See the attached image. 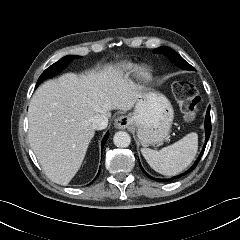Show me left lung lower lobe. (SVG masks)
Returning <instances> with one entry per match:
<instances>
[{
	"instance_id": "1",
	"label": "left lung lower lobe",
	"mask_w": 240,
	"mask_h": 240,
	"mask_svg": "<svg viewBox=\"0 0 240 240\" xmlns=\"http://www.w3.org/2000/svg\"><path fill=\"white\" fill-rule=\"evenodd\" d=\"M205 131H206V140H205V144H204L203 150H202L200 156L198 157V159L195 161L194 165H193L188 171L184 172V173L181 174V175H178V176H175V177H173V178H170V179H155V178H153L152 176L148 175V174L144 171V169L142 168V166H141V164H140V162H139V165H140L141 170H142L150 179H154V180H156V181H171V180H173V179H177V178H179V177H181V176H183V175H186L187 173H189L190 171H192V170L197 166L198 162H199L200 159H201L202 154L204 153V150H205L207 141H208V139H209V137H210V133H211L210 106H209L208 109H207L206 120H205Z\"/></svg>"
}]
</instances>
